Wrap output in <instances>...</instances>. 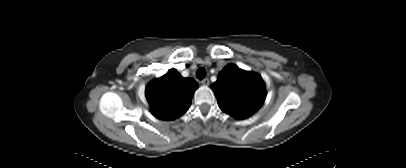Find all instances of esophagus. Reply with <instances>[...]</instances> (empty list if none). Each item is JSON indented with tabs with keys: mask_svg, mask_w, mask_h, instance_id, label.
<instances>
[{
	"mask_svg": "<svg viewBox=\"0 0 406 168\" xmlns=\"http://www.w3.org/2000/svg\"><path fill=\"white\" fill-rule=\"evenodd\" d=\"M201 83H202L204 86H208L209 83H210V81H209L208 78H205V79H203V80L201 81Z\"/></svg>",
	"mask_w": 406,
	"mask_h": 168,
	"instance_id": "obj_1",
	"label": "esophagus"
}]
</instances>
